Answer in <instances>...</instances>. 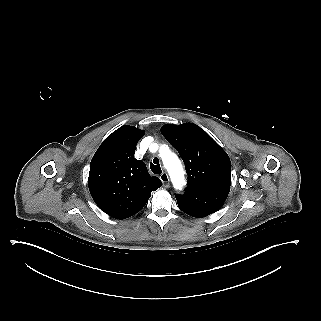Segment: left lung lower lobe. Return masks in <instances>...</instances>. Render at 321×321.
Instances as JSON below:
<instances>
[{"instance_id":"1","label":"left lung lower lobe","mask_w":321,"mask_h":321,"mask_svg":"<svg viewBox=\"0 0 321 321\" xmlns=\"http://www.w3.org/2000/svg\"><path fill=\"white\" fill-rule=\"evenodd\" d=\"M228 188H211L204 190H185L175 194L179 208L192 217H205L216 212L225 202Z\"/></svg>"}]
</instances>
